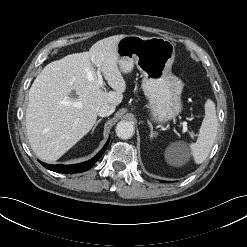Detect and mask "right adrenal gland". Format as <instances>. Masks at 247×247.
<instances>
[{
  "label": "right adrenal gland",
  "mask_w": 247,
  "mask_h": 247,
  "mask_svg": "<svg viewBox=\"0 0 247 247\" xmlns=\"http://www.w3.org/2000/svg\"><path fill=\"white\" fill-rule=\"evenodd\" d=\"M102 121V118L98 119L97 122L95 123L92 132H94V130L96 129L97 125Z\"/></svg>",
  "instance_id": "1"
}]
</instances>
